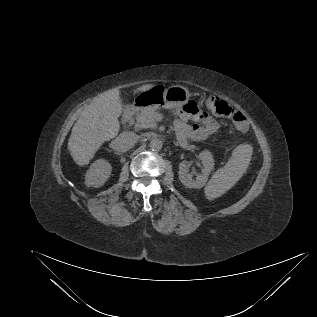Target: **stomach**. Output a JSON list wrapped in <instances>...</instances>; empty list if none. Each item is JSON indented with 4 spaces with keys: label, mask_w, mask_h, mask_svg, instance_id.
Here are the masks:
<instances>
[{
    "label": "stomach",
    "mask_w": 317,
    "mask_h": 317,
    "mask_svg": "<svg viewBox=\"0 0 317 317\" xmlns=\"http://www.w3.org/2000/svg\"><path fill=\"white\" fill-rule=\"evenodd\" d=\"M187 88L179 85L164 88L163 86H153L141 91L135 98L137 106L142 109L148 107L155 108H180L184 106L190 98Z\"/></svg>",
    "instance_id": "stomach-1"
}]
</instances>
